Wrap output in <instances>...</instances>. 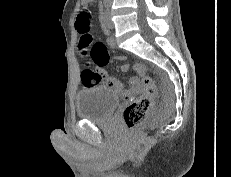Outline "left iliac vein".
Returning <instances> with one entry per match:
<instances>
[{
  "label": "left iliac vein",
  "mask_w": 231,
  "mask_h": 177,
  "mask_svg": "<svg viewBox=\"0 0 231 177\" xmlns=\"http://www.w3.org/2000/svg\"><path fill=\"white\" fill-rule=\"evenodd\" d=\"M105 23H106V26H107L109 29H113V28H114V23H113V21L111 20V14H110L109 9H107V11H106V13H105Z\"/></svg>",
  "instance_id": "1"
}]
</instances>
